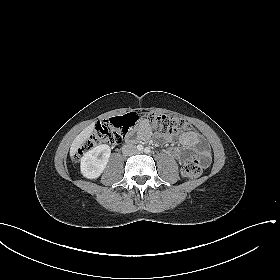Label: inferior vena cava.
<instances>
[{
  "label": "inferior vena cava",
  "mask_w": 280,
  "mask_h": 280,
  "mask_svg": "<svg viewBox=\"0 0 280 280\" xmlns=\"http://www.w3.org/2000/svg\"><path fill=\"white\" fill-rule=\"evenodd\" d=\"M137 152V149L134 145L127 144L122 147V153L124 155H132Z\"/></svg>",
  "instance_id": "obj_1"
}]
</instances>
